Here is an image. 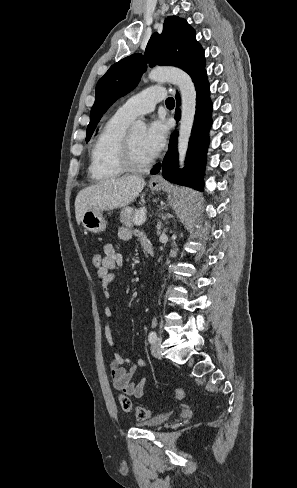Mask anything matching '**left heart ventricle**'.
Here are the masks:
<instances>
[{
	"instance_id": "obj_1",
	"label": "left heart ventricle",
	"mask_w": 297,
	"mask_h": 488,
	"mask_svg": "<svg viewBox=\"0 0 297 488\" xmlns=\"http://www.w3.org/2000/svg\"><path fill=\"white\" fill-rule=\"evenodd\" d=\"M143 135V132H137L129 135L132 146L133 159L137 164H144L151 159V157L143 147Z\"/></svg>"
}]
</instances>
